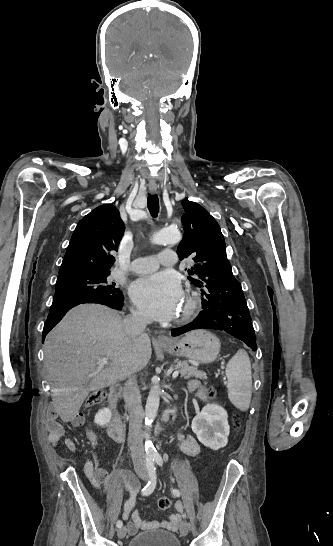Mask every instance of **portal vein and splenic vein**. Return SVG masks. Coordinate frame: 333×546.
<instances>
[{"mask_svg":"<svg viewBox=\"0 0 333 546\" xmlns=\"http://www.w3.org/2000/svg\"><path fill=\"white\" fill-rule=\"evenodd\" d=\"M97 361H98L100 366H104V365H106L108 363V359L105 358V357H99V358H97ZM178 375H179V371L176 370V371L173 372L172 378H176Z\"/></svg>","mask_w":333,"mask_h":546,"instance_id":"portal-vein-and-splenic-vein-1","label":"portal vein and splenic vein"}]
</instances>
